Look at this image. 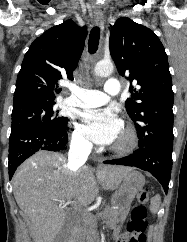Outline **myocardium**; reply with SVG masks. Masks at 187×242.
<instances>
[{
    "instance_id": "myocardium-1",
    "label": "myocardium",
    "mask_w": 187,
    "mask_h": 242,
    "mask_svg": "<svg viewBox=\"0 0 187 242\" xmlns=\"http://www.w3.org/2000/svg\"><path fill=\"white\" fill-rule=\"evenodd\" d=\"M123 129L126 135V142L123 145L112 146L110 148L113 153L118 155H126L132 153L139 144L138 132L132 123H124Z\"/></svg>"
}]
</instances>
